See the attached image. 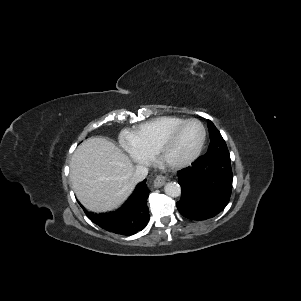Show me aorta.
Returning <instances> with one entry per match:
<instances>
[{"instance_id": "aorta-1", "label": "aorta", "mask_w": 301, "mask_h": 301, "mask_svg": "<svg viewBox=\"0 0 301 301\" xmlns=\"http://www.w3.org/2000/svg\"><path fill=\"white\" fill-rule=\"evenodd\" d=\"M165 193L170 197H179L181 195V187L176 182H168L164 187Z\"/></svg>"}]
</instances>
